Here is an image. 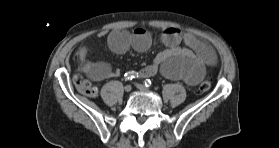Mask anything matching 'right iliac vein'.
I'll use <instances>...</instances> for the list:
<instances>
[{"label": "right iliac vein", "instance_id": "1", "mask_svg": "<svg viewBox=\"0 0 279 148\" xmlns=\"http://www.w3.org/2000/svg\"><path fill=\"white\" fill-rule=\"evenodd\" d=\"M131 89H132V87H131L130 85H126V86L124 87L125 92H130Z\"/></svg>", "mask_w": 279, "mask_h": 148}]
</instances>
